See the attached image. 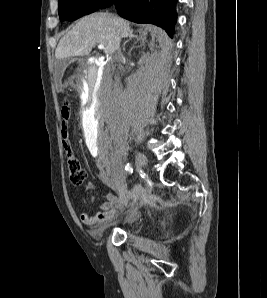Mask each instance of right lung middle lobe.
<instances>
[{"label": "right lung middle lobe", "mask_w": 267, "mask_h": 298, "mask_svg": "<svg viewBox=\"0 0 267 298\" xmlns=\"http://www.w3.org/2000/svg\"><path fill=\"white\" fill-rule=\"evenodd\" d=\"M106 0H59L61 21L76 20L99 9Z\"/></svg>", "instance_id": "1"}]
</instances>
